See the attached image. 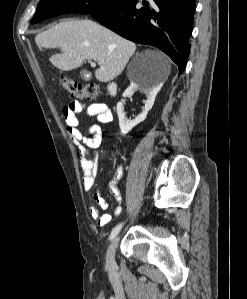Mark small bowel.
<instances>
[{"label": "small bowel", "instance_id": "small-bowel-1", "mask_svg": "<svg viewBox=\"0 0 247 299\" xmlns=\"http://www.w3.org/2000/svg\"><path fill=\"white\" fill-rule=\"evenodd\" d=\"M86 110L87 114L96 117L99 124H93L88 128L89 135H84L79 128L78 115ZM66 123V132L71 141L78 147L81 156V168L83 171L82 184L85 191H91L95 186L98 175L96 155L93 152L100 147L103 140V132L100 124L112 121V113L105 103L85 104L81 101H71L62 109ZM120 174L110 183V193L117 201L118 205L114 209V215L120 216L122 207L119 205L121 195L117 187ZM95 205L90 207L91 217L97 221L98 225L104 227L111 221V215L103 213L108 209L107 200L97 190L93 194Z\"/></svg>", "mask_w": 247, "mask_h": 299}]
</instances>
